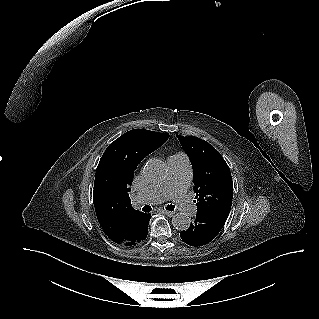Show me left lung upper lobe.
Segmentation results:
<instances>
[{
	"mask_svg": "<svg viewBox=\"0 0 319 319\" xmlns=\"http://www.w3.org/2000/svg\"><path fill=\"white\" fill-rule=\"evenodd\" d=\"M193 167L197 212H230L233 181L230 169L221 154L208 142L177 135Z\"/></svg>",
	"mask_w": 319,
	"mask_h": 319,
	"instance_id": "obj_1",
	"label": "left lung upper lobe"
}]
</instances>
